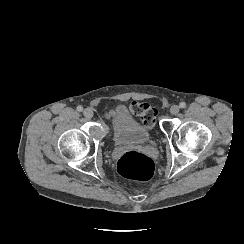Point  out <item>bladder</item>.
<instances>
[{"label":"bladder","mask_w":244,"mask_h":244,"mask_svg":"<svg viewBox=\"0 0 244 244\" xmlns=\"http://www.w3.org/2000/svg\"><path fill=\"white\" fill-rule=\"evenodd\" d=\"M117 114L118 122L112 131L113 142L117 145H146L151 142V135L144 129L138 119H134L127 109H114Z\"/></svg>","instance_id":"31cf9c89"}]
</instances>
